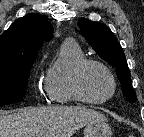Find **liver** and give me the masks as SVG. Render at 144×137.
<instances>
[{
	"instance_id": "1",
	"label": "liver",
	"mask_w": 144,
	"mask_h": 137,
	"mask_svg": "<svg viewBox=\"0 0 144 137\" xmlns=\"http://www.w3.org/2000/svg\"><path fill=\"white\" fill-rule=\"evenodd\" d=\"M96 121H106V117L85 107H27L0 112V137H72Z\"/></svg>"
}]
</instances>
